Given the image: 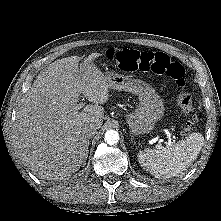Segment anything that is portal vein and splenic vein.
I'll return each mask as SVG.
<instances>
[{
  "instance_id": "18ae733b",
  "label": "portal vein and splenic vein",
  "mask_w": 221,
  "mask_h": 221,
  "mask_svg": "<svg viewBox=\"0 0 221 221\" xmlns=\"http://www.w3.org/2000/svg\"><path fill=\"white\" fill-rule=\"evenodd\" d=\"M83 104H78L77 106L74 107V110H79L80 108H82ZM167 137L171 140V134L168 132L167 133ZM174 139H176L175 137H173ZM169 143H171V141H169Z\"/></svg>"
}]
</instances>
